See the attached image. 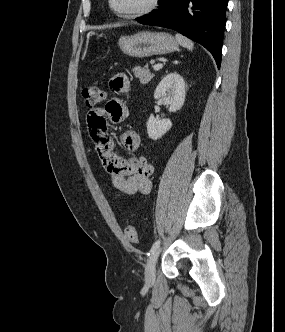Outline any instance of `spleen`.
Masks as SVG:
<instances>
[{
    "label": "spleen",
    "mask_w": 285,
    "mask_h": 332,
    "mask_svg": "<svg viewBox=\"0 0 285 332\" xmlns=\"http://www.w3.org/2000/svg\"><path fill=\"white\" fill-rule=\"evenodd\" d=\"M175 38H176V41H177L182 47H185V48H187V49L190 50V51L193 50L194 43H193L190 39H188V38H186V37H184L183 35L178 34V33L175 35Z\"/></svg>",
    "instance_id": "spleen-1"
}]
</instances>
